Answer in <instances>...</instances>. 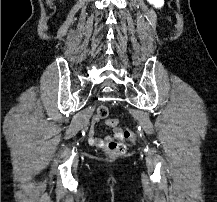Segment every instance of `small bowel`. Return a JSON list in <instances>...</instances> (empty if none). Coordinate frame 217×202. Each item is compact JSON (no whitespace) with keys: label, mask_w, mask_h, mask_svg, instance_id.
Here are the masks:
<instances>
[{"label":"small bowel","mask_w":217,"mask_h":202,"mask_svg":"<svg viewBox=\"0 0 217 202\" xmlns=\"http://www.w3.org/2000/svg\"><path fill=\"white\" fill-rule=\"evenodd\" d=\"M99 114L97 113L96 115L93 116L92 118V123L90 128L88 129V143L91 146L97 147V148H103L105 144L109 141H111V137H104V138H99L96 136V125L101 122L99 118ZM112 128L111 126H109ZM114 132V137L118 139L119 136H124L123 132L120 128H112Z\"/></svg>","instance_id":"1"}]
</instances>
